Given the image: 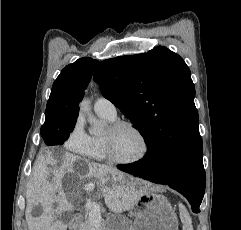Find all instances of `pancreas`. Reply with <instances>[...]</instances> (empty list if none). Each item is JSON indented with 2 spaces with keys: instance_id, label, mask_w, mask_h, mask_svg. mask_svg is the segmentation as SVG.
I'll list each match as a JSON object with an SVG mask.
<instances>
[{
  "instance_id": "1",
  "label": "pancreas",
  "mask_w": 241,
  "mask_h": 230,
  "mask_svg": "<svg viewBox=\"0 0 241 230\" xmlns=\"http://www.w3.org/2000/svg\"><path fill=\"white\" fill-rule=\"evenodd\" d=\"M77 230H108V228L104 222H101L98 225L91 223L89 220V212H87L84 220L79 223Z\"/></svg>"
}]
</instances>
